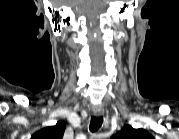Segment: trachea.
Here are the masks:
<instances>
[{
  "label": "trachea",
  "instance_id": "1",
  "mask_svg": "<svg viewBox=\"0 0 179 139\" xmlns=\"http://www.w3.org/2000/svg\"><path fill=\"white\" fill-rule=\"evenodd\" d=\"M102 123H103V117L102 116L91 117L90 126H89L90 131L96 132L101 127Z\"/></svg>",
  "mask_w": 179,
  "mask_h": 139
}]
</instances>
